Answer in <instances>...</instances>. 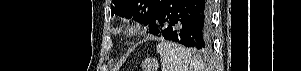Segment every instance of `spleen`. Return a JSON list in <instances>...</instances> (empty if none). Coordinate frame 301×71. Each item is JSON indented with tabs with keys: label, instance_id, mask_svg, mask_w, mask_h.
I'll list each match as a JSON object with an SVG mask.
<instances>
[{
	"label": "spleen",
	"instance_id": "obj_1",
	"mask_svg": "<svg viewBox=\"0 0 301 71\" xmlns=\"http://www.w3.org/2000/svg\"><path fill=\"white\" fill-rule=\"evenodd\" d=\"M162 62V71H204L199 58L179 44L161 42L157 46Z\"/></svg>",
	"mask_w": 301,
	"mask_h": 71
}]
</instances>
